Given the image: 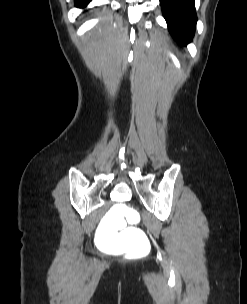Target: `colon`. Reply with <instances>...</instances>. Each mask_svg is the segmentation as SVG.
Segmentation results:
<instances>
[{
	"mask_svg": "<svg viewBox=\"0 0 247 304\" xmlns=\"http://www.w3.org/2000/svg\"><path fill=\"white\" fill-rule=\"evenodd\" d=\"M136 221H140V214L130 202H116L106 210L93 235L100 253H132L133 259H146L150 239Z\"/></svg>",
	"mask_w": 247,
	"mask_h": 304,
	"instance_id": "obj_1",
	"label": "colon"
}]
</instances>
